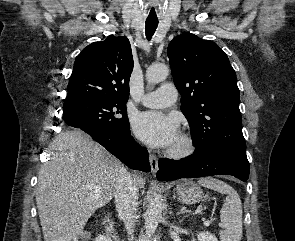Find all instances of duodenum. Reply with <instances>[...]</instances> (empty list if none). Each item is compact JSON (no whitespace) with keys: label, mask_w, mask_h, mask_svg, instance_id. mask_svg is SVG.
Wrapping results in <instances>:
<instances>
[{"label":"duodenum","mask_w":295,"mask_h":241,"mask_svg":"<svg viewBox=\"0 0 295 241\" xmlns=\"http://www.w3.org/2000/svg\"><path fill=\"white\" fill-rule=\"evenodd\" d=\"M105 229L108 232V234L111 236L113 241H120L119 235L116 230V225L110 214L106 215L105 217Z\"/></svg>","instance_id":"obj_1"}]
</instances>
